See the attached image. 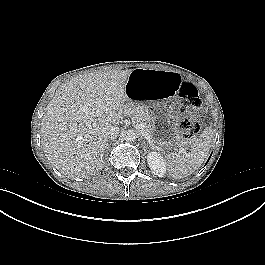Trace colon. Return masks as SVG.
<instances>
[{"instance_id":"1","label":"colon","mask_w":265,"mask_h":265,"mask_svg":"<svg viewBox=\"0 0 265 265\" xmlns=\"http://www.w3.org/2000/svg\"><path fill=\"white\" fill-rule=\"evenodd\" d=\"M180 95V111L184 112L187 109H193L194 112L186 115L181 121L180 128L185 138H193L201 128V114L196 111L200 104L198 91L194 85L182 82L179 86Z\"/></svg>"}]
</instances>
